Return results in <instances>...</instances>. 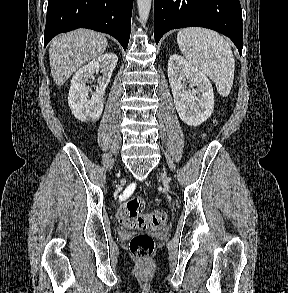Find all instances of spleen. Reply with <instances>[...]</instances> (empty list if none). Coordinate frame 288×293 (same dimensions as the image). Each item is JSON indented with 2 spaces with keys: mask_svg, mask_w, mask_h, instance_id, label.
Masks as SVG:
<instances>
[{
  "mask_svg": "<svg viewBox=\"0 0 288 293\" xmlns=\"http://www.w3.org/2000/svg\"><path fill=\"white\" fill-rule=\"evenodd\" d=\"M177 43L189 63L215 82L220 95L227 96L235 69L229 43L217 32L199 27L181 29Z\"/></svg>",
  "mask_w": 288,
  "mask_h": 293,
  "instance_id": "3e777b00",
  "label": "spleen"
}]
</instances>
